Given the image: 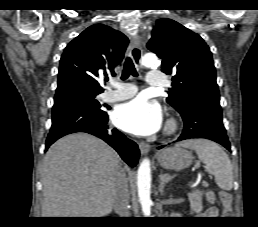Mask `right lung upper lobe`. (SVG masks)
<instances>
[{"mask_svg": "<svg viewBox=\"0 0 258 227\" xmlns=\"http://www.w3.org/2000/svg\"><path fill=\"white\" fill-rule=\"evenodd\" d=\"M128 45L127 37L103 24L84 30L65 48L59 65L57 92L85 89L102 93L99 76L114 73Z\"/></svg>", "mask_w": 258, "mask_h": 227, "instance_id": "1", "label": "right lung upper lobe"}]
</instances>
